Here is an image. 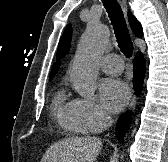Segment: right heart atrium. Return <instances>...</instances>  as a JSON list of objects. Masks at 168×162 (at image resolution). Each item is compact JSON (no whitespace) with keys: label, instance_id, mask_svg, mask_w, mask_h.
<instances>
[{"label":"right heart atrium","instance_id":"1","mask_svg":"<svg viewBox=\"0 0 168 162\" xmlns=\"http://www.w3.org/2000/svg\"><path fill=\"white\" fill-rule=\"evenodd\" d=\"M72 113L75 121L90 133L101 131L109 121V117L94 99H74Z\"/></svg>","mask_w":168,"mask_h":162}]
</instances>
